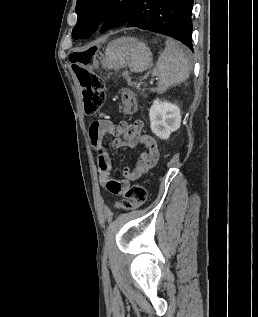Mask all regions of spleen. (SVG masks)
<instances>
[{"mask_svg":"<svg viewBox=\"0 0 258 317\" xmlns=\"http://www.w3.org/2000/svg\"><path fill=\"white\" fill-rule=\"evenodd\" d=\"M190 52L187 48H181L176 40L168 38L166 46L161 52L152 76H158L157 92H165L169 86H175L184 82L189 76Z\"/></svg>","mask_w":258,"mask_h":317,"instance_id":"spleen-1","label":"spleen"}]
</instances>
